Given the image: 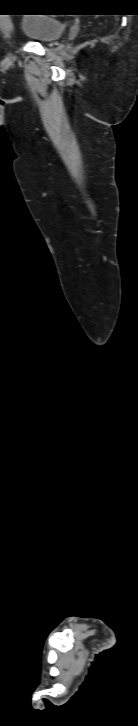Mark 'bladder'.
Returning <instances> with one entry per match:
<instances>
[{
  "instance_id": "31cf9c89",
  "label": "bladder",
  "mask_w": 138,
  "mask_h": 726,
  "mask_svg": "<svg viewBox=\"0 0 138 726\" xmlns=\"http://www.w3.org/2000/svg\"><path fill=\"white\" fill-rule=\"evenodd\" d=\"M22 33L40 42L53 41L60 38L65 32V23L56 17L47 14H29L21 22Z\"/></svg>"
}]
</instances>
